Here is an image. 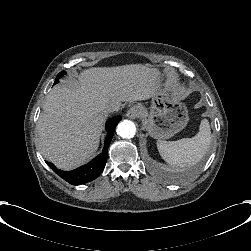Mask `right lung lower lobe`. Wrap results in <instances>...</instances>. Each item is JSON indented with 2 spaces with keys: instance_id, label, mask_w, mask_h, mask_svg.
<instances>
[{
  "instance_id": "obj_1",
  "label": "right lung lower lobe",
  "mask_w": 251,
  "mask_h": 251,
  "mask_svg": "<svg viewBox=\"0 0 251 251\" xmlns=\"http://www.w3.org/2000/svg\"><path fill=\"white\" fill-rule=\"evenodd\" d=\"M121 116H115L107 121L106 129H107V136L105 139V145L102 153L95 157L92 161L88 164L81 166L72 171H62L57 169L53 163L47 162V165L55 171L60 177L65 179L68 183L72 185H79L90 182L96 179L101 172L103 171L106 162H107V152L110 142L112 140L114 130L116 125L121 121Z\"/></svg>"
}]
</instances>
